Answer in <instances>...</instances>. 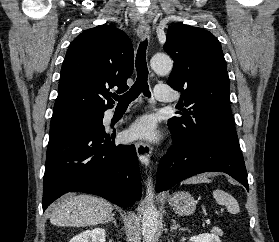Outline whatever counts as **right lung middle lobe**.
Wrapping results in <instances>:
<instances>
[{
	"instance_id": "dd1d6c3e",
	"label": "right lung middle lobe",
	"mask_w": 279,
	"mask_h": 242,
	"mask_svg": "<svg viewBox=\"0 0 279 242\" xmlns=\"http://www.w3.org/2000/svg\"><path fill=\"white\" fill-rule=\"evenodd\" d=\"M102 116L103 113L86 111L52 116L49 140L76 131L91 130L93 121L100 119Z\"/></svg>"
}]
</instances>
